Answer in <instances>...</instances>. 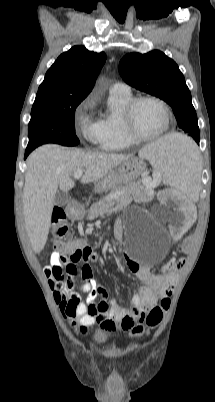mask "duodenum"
<instances>
[{
	"label": "duodenum",
	"mask_w": 215,
	"mask_h": 402,
	"mask_svg": "<svg viewBox=\"0 0 215 402\" xmlns=\"http://www.w3.org/2000/svg\"><path fill=\"white\" fill-rule=\"evenodd\" d=\"M68 215L72 218V219H78L82 216L83 214V208L82 206L77 202H73L69 205L68 209Z\"/></svg>",
	"instance_id": "obj_1"
}]
</instances>
